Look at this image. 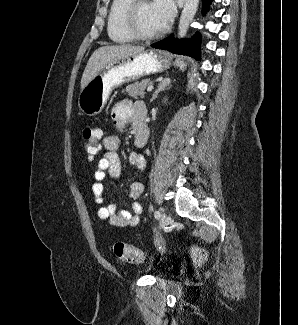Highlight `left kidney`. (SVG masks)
Here are the masks:
<instances>
[{
	"instance_id": "obj_1",
	"label": "left kidney",
	"mask_w": 298,
	"mask_h": 325,
	"mask_svg": "<svg viewBox=\"0 0 298 325\" xmlns=\"http://www.w3.org/2000/svg\"><path fill=\"white\" fill-rule=\"evenodd\" d=\"M162 102H164V104H167V102H168V96H165V98H163Z\"/></svg>"
}]
</instances>
